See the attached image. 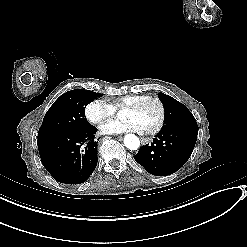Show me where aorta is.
Returning a JSON list of instances; mask_svg holds the SVG:
<instances>
[{
    "instance_id": "aorta-1",
    "label": "aorta",
    "mask_w": 247,
    "mask_h": 247,
    "mask_svg": "<svg viewBox=\"0 0 247 247\" xmlns=\"http://www.w3.org/2000/svg\"><path fill=\"white\" fill-rule=\"evenodd\" d=\"M124 145L130 150H137L140 146V140L136 135L130 133L124 137Z\"/></svg>"
}]
</instances>
